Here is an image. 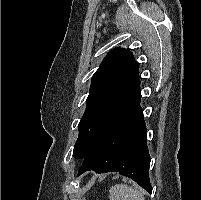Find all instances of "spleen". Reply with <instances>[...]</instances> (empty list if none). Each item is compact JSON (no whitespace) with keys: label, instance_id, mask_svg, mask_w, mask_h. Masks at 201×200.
Instances as JSON below:
<instances>
[{"label":"spleen","instance_id":"spleen-1","mask_svg":"<svg viewBox=\"0 0 201 200\" xmlns=\"http://www.w3.org/2000/svg\"><path fill=\"white\" fill-rule=\"evenodd\" d=\"M110 200H145L143 193L126 184H116L109 190Z\"/></svg>","mask_w":201,"mask_h":200}]
</instances>
